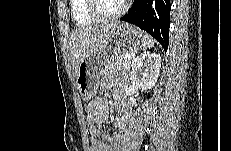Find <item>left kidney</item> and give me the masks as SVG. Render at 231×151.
Instances as JSON below:
<instances>
[{"mask_svg":"<svg viewBox=\"0 0 231 151\" xmlns=\"http://www.w3.org/2000/svg\"><path fill=\"white\" fill-rule=\"evenodd\" d=\"M161 57L156 53L137 56L131 65L130 80L137 87L151 89L160 74Z\"/></svg>","mask_w":231,"mask_h":151,"instance_id":"left-kidney-1","label":"left kidney"}]
</instances>
